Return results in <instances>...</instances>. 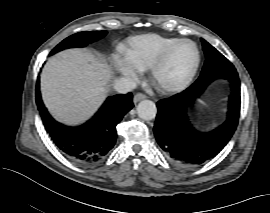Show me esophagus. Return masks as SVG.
Returning a JSON list of instances; mask_svg holds the SVG:
<instances>
[{"label":"esophagus","mask_w":270,"mask_h":213,"mask_svg":"<svg viewBox=\"0 0 270 213\" xmlns=\"http://www.w3.org/2000/svg\"><path fill=\"white\" fill-rule=\"evenodd\" d=\"M146 97H147V96L144 95V94H142V93H137V94H135L134 97H133V102H134V103H137V102H139V101H141V100H144Z\"/></svg>","instance_id":"esophagus-1"}]
</instances>
